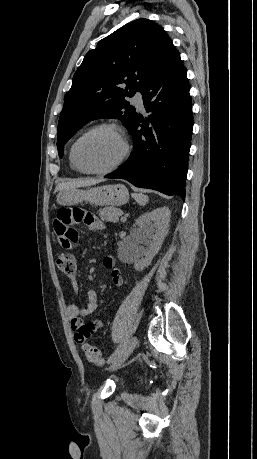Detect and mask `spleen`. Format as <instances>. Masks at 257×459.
Wrapping results in <instances>:
<instances>
[{"label": "spleen", "instance_id": "3e777b00", "mask_svg": "<svg viewBox=\"0 0 257 459\" xmlns=\"http://www.w3.org/2000/svg\"><path fill=\"white\" fill-rule=\"evenodd\" d=\"M133 197L138 203H140L142 205L146 204L148 202V200H149L148 196H146L144 194H141V193H139V194L134 193Z\"/></svg>", "mask_w": 257, "mask_h": 459}]
</instances>
